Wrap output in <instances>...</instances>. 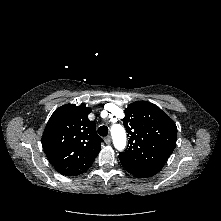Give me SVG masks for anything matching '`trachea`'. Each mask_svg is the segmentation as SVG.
Masks as SVG:
<instances>
[{
  "label": "trachea",
  "mask_w": 221,
  "mask_h": 221,
  "mask_svg": "<svg viewBox=\"0 0 221 221\" xmlns=\"http://www.w3.org/2000/svg\"><path fill=\"white\" fill-rule=\"evenodd\" d=\"M98 134L100 136H106L108 134V127L107 126H100L98 128Z\"/></svg>",
  "instance_id": "obj_1"
}]
</instances>
